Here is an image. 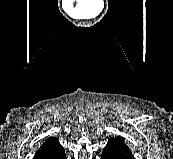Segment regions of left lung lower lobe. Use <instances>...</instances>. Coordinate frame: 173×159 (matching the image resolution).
Listing matches in <instances>:
<instances>
[{
	"label": "left lung lower lobe",
	"instance_id": "1",
	"mask_svg": "<svg viewBox=\"0 0 173 159\" xmlns=\"http://www.w3.org/2000/svg\"><path fill=\"white\" fill-rule=\"evenodd\" d=\"M101 159H134L129 149L108 142L103 149Z\"/></svg>",
	"mask_w": 173,
	"mask_h": 159
}]
</instances>
